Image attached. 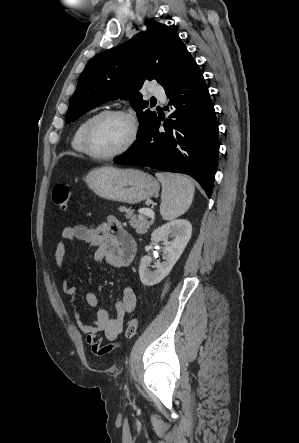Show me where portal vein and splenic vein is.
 <instances>
[{
    "label": "portal vein and splenic vein",
    "mask_w": 299,
    "mask_h": 443,
    "mask_svg": "<svg viewBox=\"0 0 299 443\" xmlns=\"http://www.w3.org/2000/svg\"><path fill=\"white\" fill-rule=\"evenodd\" d=\"M144 211V214L146 216H148L149 218H151L152 220H154L155 218V213L152 210H142Z\"/></svg>",
    "instance_id": "obj_1"
}]
</instances>
